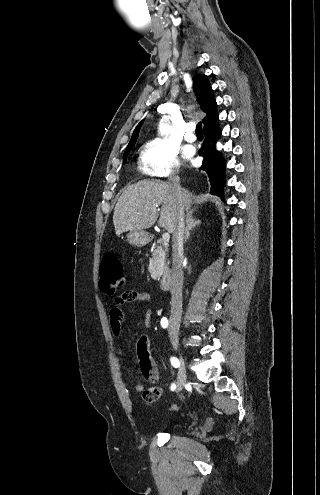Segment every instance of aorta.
<instances>
[{
  "label": "aorta",
  "instance_id": "aorta-1",
  "mask_svg": "<svg viewBox=\"0 0 320 495\" xmlns=\"http://www.w3.org/2000/svg\"><path fill=\"white\" fill-rule=\"evenodd\" d=\"M170 131L169 117L164 116L159 122V133L160 135H166Z\"/></svg>",
  "mask_w": 320,
  "mask_h": 495
}]
</instances>
